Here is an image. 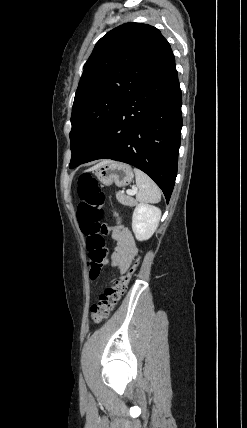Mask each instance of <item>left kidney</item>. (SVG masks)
I'll list each match as a JSON object with an SVG mask.
<instances>
[{"label":"left kidney","instance_id":"left-kidney-1","mask_svg":"<svg viewBox=\"0 0 247 428\" xmlns=\"http://www.w3.org/2000/svg\"><path fill=\"white\" fill-rule=\"evenodd\" d=\"M161 210L153 205L140 203L132 216V230L138 241L148 240L158 227Z\"/></svg>","mask_w":247,"mask_h":428}]
</instances>
